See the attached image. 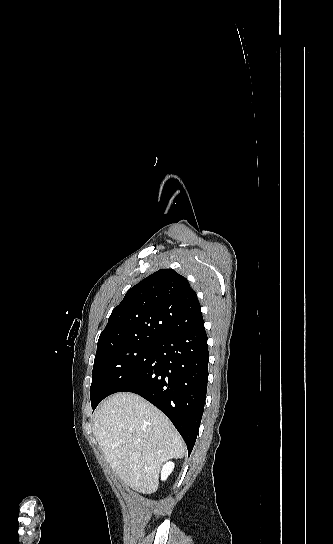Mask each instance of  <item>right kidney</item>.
Instances as JSON below:
<instances>
[{"label":"right kidney","mask_w":333,"mask_h":544,"mask_svg":"<svg viewBox=\"0 0 333 544\" xmlns=\"http://www.w3.org/2000/svg\"><path fill=\"white\" fill-rule=\"evenodd\" d=\"M174 469V463L167 462L165 465H163L161 470V480H166L168 476L172 473Z\"/></svg>","instance_id":"ca27d5eb"}]
</instances>
